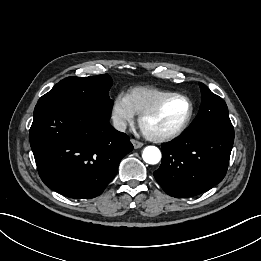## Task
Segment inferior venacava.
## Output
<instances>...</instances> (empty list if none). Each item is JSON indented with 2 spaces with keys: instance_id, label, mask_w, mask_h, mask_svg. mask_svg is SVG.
<instances>
[{
  "instance_id": "602c4592",
  "label": "inferior vena cava",
  "mask_w": 261,
  "mask_h": 261,
  "mask_svg": "<svg viewBox=\"0 0 261 261\" xmlns=\"http://www.w3.org/2000/svg\"><path fill=\"white\" fill-rule=\"evenodd\" d=\"M113 126L116 130L124 132L126 130V122L120 118L113 119Z\"/></svg>"
}]
</instances>
